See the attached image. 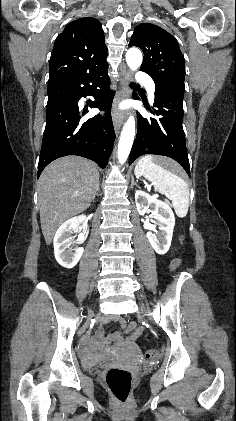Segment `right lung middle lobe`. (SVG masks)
I'll return each instance as SVG.
<instances>
[{"label":"right lung middle lobe","instance_id":"dd1d6c3e","mask_svg":"<svg viewBox=\"0 0 236 421\" xmlns=\"http://www.w3.org/2000/svg\"><path fill=\"white\" fill-rule=\"evenodd\" d=\"M64 96H65V94L62 91H60L59 89L52 88V87L48 86V102L53 101V100L58 99V98H61V97H64Z\"/></svg>","mask_w":236,"mask_h":421}]
</instances>
